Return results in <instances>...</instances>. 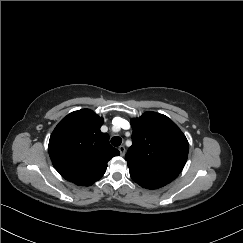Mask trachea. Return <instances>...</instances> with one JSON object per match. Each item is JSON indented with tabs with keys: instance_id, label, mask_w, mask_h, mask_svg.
Here are the masks:
<instances>
[{
	"instance_id": "obj_1",
	"label": "trachea",
	"mask_w": 243,
	"mask_h": 243,
	"mask_svg": "<svg viewBox=\"0 0 243 243\" xmlns=\"http://www.w3.org/2000/svg\"><path fill=\"white\" fill-rule=\"evenodd\" d=\"M121 143H122V139H121V137H119V136H114V137L111 139V144H112L114 147H118Z\"/></svg>"
}]
</instances>
